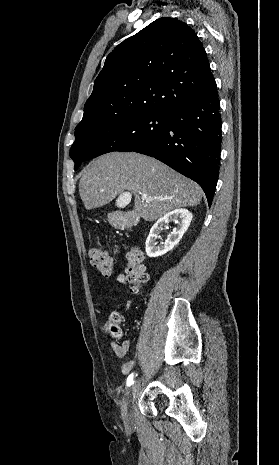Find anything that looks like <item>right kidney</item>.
<instances>
[{
	"mask_svg": "<svg viewBox=\"0 0 279 465\" xmlns=\"http://www.w3.org/2000/svg\"><path fill=\"white\" fill-rule=\"evenodd\" d=\"M193 215L190 211L183 208L175 209L168 212L161 217L152 226L150 233L146 240V253L148 257H158L166 254L172 250L181 240L184 233L187 231ZM175 222L178 224L177 228H174L168 238L162 243L161 246H157V238L159 237L163 228L169 224V222Z\"/></svg>",
	"mask_w": 279,
	"mask_h": 465,
	"instance_id": "1",
	"label": "right kidney"
}]
</instances>
